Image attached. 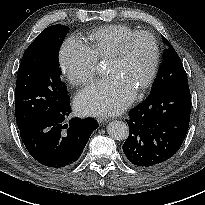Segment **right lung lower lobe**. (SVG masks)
Here are the masks:
<instances>
[{
	"label": "right lung lower lobe",
	"mask_w": 205,
	"mask_h": 205,
	"mask_svg": "<svg viewBox=\"0 0 205 205\" xmlns=\"http://www.w3.org/2000/svg\"><path fill=\"white\" fill-rule=\"evenodd\" d=\"M70 100L52 106L20 130L21 139L30 155L49 169L72 166L80 157L91 133L98 127L92 118L64 119L70 114Z\"/></svg>",
	"instance_id": "right-lung-lower-lobe-1"
}]
</instances>
